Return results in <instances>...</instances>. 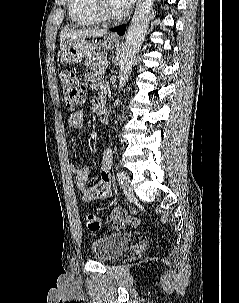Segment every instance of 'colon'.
<instances>
[{
    "mask_svg": "<svg viewBox=\"0 0 239 303\" xmlns=\"http://www.w3.org/2000/svg\"><path fill=\"white\" fill-rule=\"evenodd\" d=\"M61 87L65 104L68 109L75 110L85 101V86L80 78L69 69L61 72ZM133 223L134 219H120L116 221L117 227H122L123 223ZM86 226L91 232H99L102 228L100 218L95 214L86 216Z\"/></svg>",
    "mask_w": 239,
    "mask_h": 303,
    "instance_id": "colon-1",
    "label": "colon"
}]
</instances>
